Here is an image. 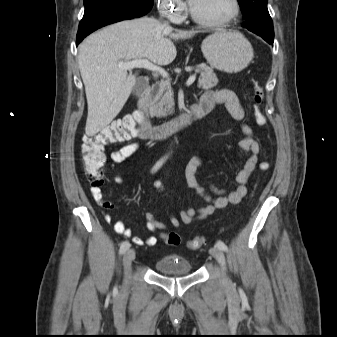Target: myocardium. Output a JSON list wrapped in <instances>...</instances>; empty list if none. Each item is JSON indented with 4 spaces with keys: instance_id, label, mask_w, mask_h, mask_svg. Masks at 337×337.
Returning <instances> with one entry per match:
<instances>
[{
    "instance_id": "1",
    "label": "myocardium",
    "mask_w": 337,
    "mask_h": 337,
    "mask_svg": "<svg viewBox=\"0 0 337 337\" xmlns=\"http://www.w3.org/2000/svg\"><path fill=\"white\" fill-rule=\"evenodd\" d=\"M241 10L240 0H231V11L227 17L222 20H209L203 17H200L195 13L192 6H189V14L193 21L196 23L210 28H223L232 23L239 15Z\"/></svg>"
}]
</instances>
